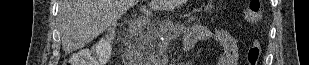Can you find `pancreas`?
<instances>
[{"label": "pancreas", "mask_w": 309, "mask_h": 65, "mask_svg": "<svg viewBox=\"0 0 309 65\" xmlns=\"http://www.w3.org/2000/svg\"><path fill=\"white\" fill-rule=\"evenodd\" d=\"M172 30V25L169 21L151 23L149 30L141 36L140 43H137L134 55L139 61L152 59L156 54V46L160 35L166 34Z\"/></svg>", "instance_id": "pancreas-1"}]
</instances>
